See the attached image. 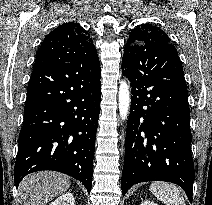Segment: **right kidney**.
<instances>
[{"instance_id": "obj_1", "label": "right kidney", "mask_w": 212, "mask_h": 205, "mask_svg": "<svg viewBox=\"0 0 212 205\" xmlns=\"http://www.w3.org/2000/svg\"><path fill=\"white\" fill-rule=\"evenodd\" d=\"M49 205H75L72 193H65Z\"/></svg>"}]
</instances>
